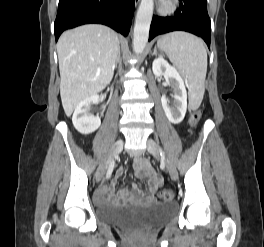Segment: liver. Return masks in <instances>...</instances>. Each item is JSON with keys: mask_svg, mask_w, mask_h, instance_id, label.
<instances>
[{"mask_svg": "<svg viewBox=\"0 0 264 247\" xmlns=\"http://www.w3.org/2000/svg\"><path fill=\"white\" fill-rule=\"evenodd\" d=\"M118 52V35L103 25H83L60 36V96L68 117L81 101L111 82Z\"/></svg>", "mask_w": 264, "mask_h": 247, "instance_id": "1", "label": "liver"}]
</instances>
